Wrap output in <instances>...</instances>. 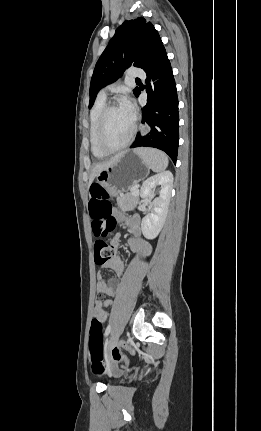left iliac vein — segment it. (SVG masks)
<instances>
[{
	"label": "left iliac vein",
	"mask_w": 261,
	"mask_h": 431,
	"mask_svg": "<svg viewBox=\"0 0 261 431\" xmlns=\"http://www.w3.org/2000/svg\"><path fill=\"white\" fill-rule=\"evenodd\" d=\"M119 336H120V330H116L115 332L112 333L106 345L107 352L110 351L116 345V343L118 342Z\"/></svg>",
	"instance_id": "obj_1"
}]
</instances>
